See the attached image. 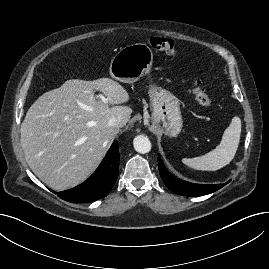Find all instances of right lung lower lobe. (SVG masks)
Here are the masks:
<instances>
[{"mask_svg":"<svg viewBox=\"0 0 269 269\" xmlns=\"http://www.w3.org/2000/svg\"><path fill=\"white\" fill-rule=\"evenodd\" d=\"M119 150L115 141L97 170L84 183L62 192L58 196L72 203H87L101 199L110 192L118 177Z\"/></svg>","mask_w":269,"mask_h":269,"instance_id":"98d812e1","label":"right lung lower lobe"}]
</instances>
